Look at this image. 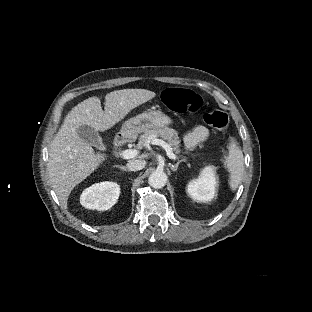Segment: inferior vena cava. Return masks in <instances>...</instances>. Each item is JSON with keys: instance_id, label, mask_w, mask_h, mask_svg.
<instances>
[{"instance_id": "602c4592", "label": "inferior vena cava", "mask_w": 312, "mask_h": 312, "mask_svg": "<svg viewBox=\"0 0 312 312\" xmlns=\"http://www.w3.org/2000/svg\"><path fill=\"white\" fill-rule=\"evenodd\" d=\"M146 165V162L143 160H133L127 163V169L129 171H140L142 170Z\"/></svg>"}]
</instances>
